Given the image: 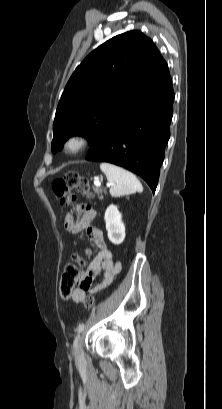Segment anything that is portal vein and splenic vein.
<instances>
[{
    "label": "portal vein and splenic vein",
    "instance_id": "18ae733b",
    "mask_svg": "<svg viewBox=\"0 0 222 409\" xmlns=\"http://www.w3.org/2000/svg\"><path fill=\"white\" fill-rule=\"evenodd\" d=\"M94 184H95V186H100V185H101V182H100L99 179H96V180L94 181ZM106 185H107V187H111V186H112L111 183H107Z\"/></svg>",
    "mask_w": 222,
    "mask_h": 409
}]
</instances>
